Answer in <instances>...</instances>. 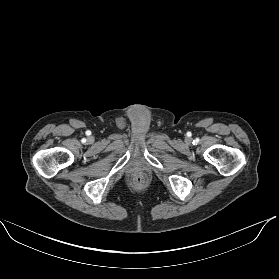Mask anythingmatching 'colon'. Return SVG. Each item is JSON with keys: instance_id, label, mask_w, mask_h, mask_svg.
I'll return each mask as SVG.
<instances>
[{"instance_id": "1", "label": "colon", "mask_w": 279, "mask_h": 279, "mask_svg": "<svg viewBox=\"0 0 279 279\" xmlns=\"http://www.w3.org/2000/svg\"><path fill=\"white\" fill-rule=\"evenodd\" d=\"M134 183H135V185H137L138 187H143V186H145L146 185V183H147V180H146V178L144 177V176H138V177H136L135 179H134Z\"/></svg>"}]
</instances>
